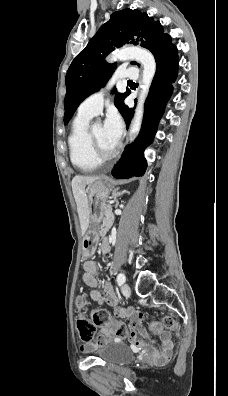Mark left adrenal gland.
<instances>
[{
    "label": "left adrenal gland",
    "instance_id": "1",
    "mask_svg": "<svg viewBox=\"0 0 228 396\" xmlns=\"http://www.w3.org/2000/svg\"><path fill=\"white\" fill-rule=\"evenodd\" d=\"M118 189H116L114 192H113V197H114V200H115V202H116V205L118 204V197L119 196H121L122 194H124L125 193V191H123V192H118L117 191Z\"/></svg>",
    "mask_w": 228,
    "mask_h": 396
}]
</instances>
